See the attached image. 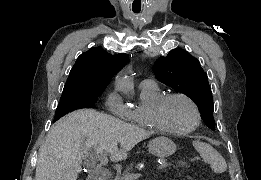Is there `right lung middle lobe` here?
Instances as JSON below:
<instances>
[{
    "label": "right lung middle lobe",
    "instance_id": "1",
    "mask_svg": "<svg viewBox=\"0 0 261 180\" xmlns=\"http://www.w3.org/2000/svg\"><path fill=\"white\" fill-rule=\"evenodd\" d=\"M103 90L89 89H64L60 103L56 109L54 121L58 120L65 114L76 109L90 108L97 98L102 94Z\"/></svg>",
    "mask_w": 261,
    "mask_h": 180
}]
</instances>
